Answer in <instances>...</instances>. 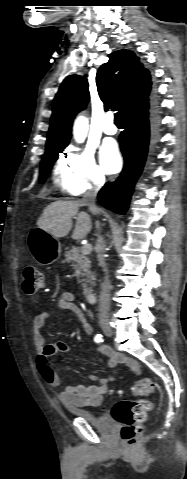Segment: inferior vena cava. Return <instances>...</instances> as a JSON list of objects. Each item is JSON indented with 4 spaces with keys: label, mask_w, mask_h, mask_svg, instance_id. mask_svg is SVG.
<instances>
[{
    "label": "inferior vena cava",
    "mask_w": 187,
    "mask_h": 479,
    "mask_svg": "<svg viewBox=\"0 0 187 479\" xmlns=\"http://www.w3.org/2000/svg\"><path fill=\"white\" fill-rule=\"evenodd\" d=\"M102 181H98L96 186L88 190L83 198L81 199L82 205L88 206L90 212L94 215H97L99 213V209L95 205V198L97 195V191L99 187L102 185ZM105 240L101 235H97V240H96V247L95 250L97 252V260L98 264L100 267H102L105 277H104V282L102 283V290L100 293V299H99V319H107L110 311V290H111V284L109 281V276H108V269L106 266L105 262Z\"/></svg>",
    "instance_id": "obj_1"
}]
</instances>
